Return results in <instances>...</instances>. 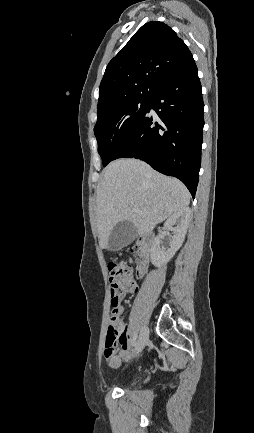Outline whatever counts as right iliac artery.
<instances>
[{"mask_svg": "<svg viewBox=\"0 0 254 433\" xmlns=\"http://www.w3.org/2000/svg\"><path fill=\"white\" fill-rule=\"evenodd\" d=\"M136 338H137V335H135V337L133 338V342L136 340Z\"/></svg>", "mask_w": 254, "mask_h": 433, "instance_id": "obj_1", "label": "right iliac artery"}]
</instances>
